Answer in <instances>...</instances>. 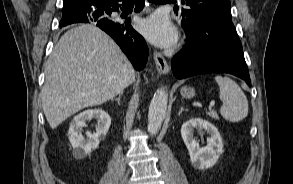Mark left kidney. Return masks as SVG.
Segmentation results:
<instances>
[{"instance_id":"1","label":"left kidney","mask_w":293,"mask_h":184,"mask_svg":"<svg viewBox=\"0 0 293 184\" xmlns=\"http://www.w3.org/2000/svg\"><path fill=\"white\" fill-rule=\"evenodd\" d=\"M194 129L207 131L209 134L207 146L199 147L193 137ZM181 136L189 151L191 164L198 169L204 170L213 167L223 153V142L217 128L204 119L193 118L183 123Z\"/></svg>"}]
</instances>
